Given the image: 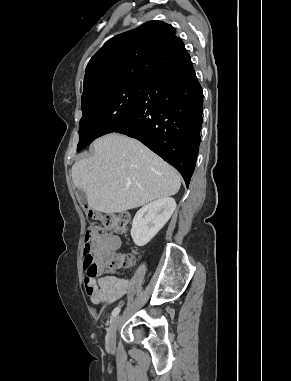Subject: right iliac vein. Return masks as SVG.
I'll return each mask as SVG.
<instances>
[{"mask_svg": "<svg viewBox=\"0 0 291 381\" xmlns=\"http://www.w3.org/2000/svg\"><path fill=\"white\" fill-rule=\"evenodd\" d=\"M119 322H120V316L119 315L115 316L108 328L106 343L110 348L114 347L115 345L116 331H117Z\"/></svg>", "mask_w": 291, "mask_h": 381, "instance_id": "63e3f726", "label": "right iliac vein"}]
</instances>
